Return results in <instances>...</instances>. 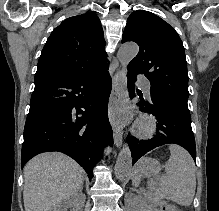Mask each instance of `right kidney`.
Here are the masks:
<instances>
[{"mask_svg":"<svg viewBox=\"0 0 219 211\" xmlns=\"http://www.w3.org/2000/svg\"><path fill=\"white\" fill-rule=\"evenodd\" d=\"M74 199H76V201H74ZM80 201H82V205H84V197L83 199H80ZM80 201H78L77 197H73V195H71L70 199H64L63 203H59V205H55L53 211H67L68 207H71V205H73V203H75V207H79V203ZM75 207H73V211H77V209H75Z\"/></svg>","mask_w":219,"mask_h":211,"instance_id":"1","label":"right kidney"}]
</instances>
